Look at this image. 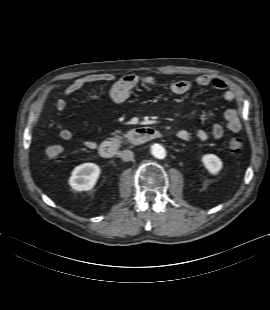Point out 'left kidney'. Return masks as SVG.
Segmentation results:
<instances>
[{"instance_id":"1","label":"left kidney","mask_w":270,"mask_h":310,"mask_svg":"<svg viewBox=\"0 0 270 310\" xmlns=\"http://www.w3.org/2000/svg\"><path fill=\"white\" fill-rule=\"evenodd\" d=\"M203 165L209 173L216 175L222 169L223 163L221 159L214 154H205L201 159Z\"/></svg>"}]
</instances>
